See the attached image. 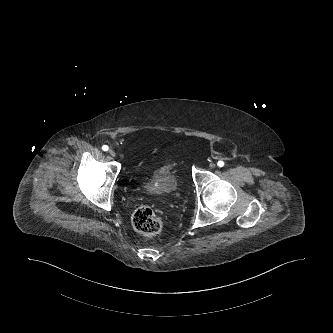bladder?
Wrapping results in <instances>:
<instances>
[{
    "label": "bladder",
    "instance_id": "31cf9c89",
    "mask_svg": "<svg viewBox=\"0 0 333 333\" xmlns=\"http://www.w3.org/2000/svg\"><path fill=\"white\" fill-rule=\"evenodd\" d=\"M156 185L158 191L170 193L177 189L178 184L175 175L170 170L156 171L152 178L145 182L147 188Z\"/></svg>",
    "mask_w": 333,
    "mask_h": 333
}]
</instances>
